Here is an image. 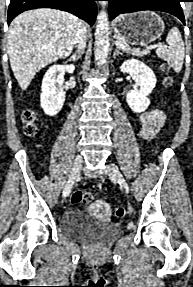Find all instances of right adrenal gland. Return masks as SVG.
I'll use <instances>...</instances> for the list:
<instances>
[{
    "label": "right adrenal gland",
    "mask_w": 193,
    "mask_h": 287,
    "mask_svg": "<svg viewBox=\"0 0 193 287\" xmlns=\"http://www.w3.org/2000/svg\"><path fill=\"white\" fill-rule=\"evenodd\" d=\"M80 57H81V53L77 52V53H74V54L69 58V60L75 62V61L79 60Z\"/></svg>",
    "instance_id": "2a0ac1e0"
}]
</instances>
